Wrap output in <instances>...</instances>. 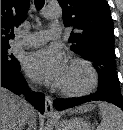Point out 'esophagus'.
Masks as SVG:
<instances>
[{
    "instance_id": "34e87169",
    "label": "esophagus",
    "mask_w": 123,
    "mask_h": 130,
    "mask_svg": "<svg viewBox=\"0 0 123 130\" xmlns=\"http://www.w3.org/2000/svg\"><path fill=\"white\" fill-rule=\"evenodd\" d=\"M44 117L47 119H54L55 114L53 110V102L51 97L46 96L45 97V112H44Z\"/></svg>"
}]
</instances>
